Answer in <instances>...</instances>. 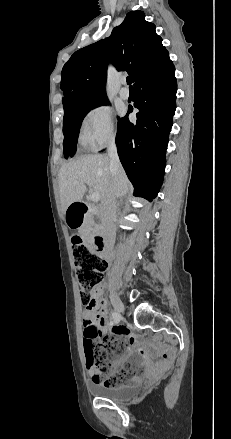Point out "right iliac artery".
Instances as JSON below:
<instances>
[{"instance_id": "obj_1", "label": "right iliac artery", "mask_w": 231, "mask_h": 439, "mask_svg": "<svg viewBox=\"0 0 231 439\" xmlns=\"http://www.w3.org/2000/svg\"><path fill=\"white\" fill-rule=\"evenodd\" d=\"M112 316H113V318L115 317V313L114 312H112ZM114 321H115V323L119 322V320H115V319H114Z\"/></svg>"}]
</instances>
